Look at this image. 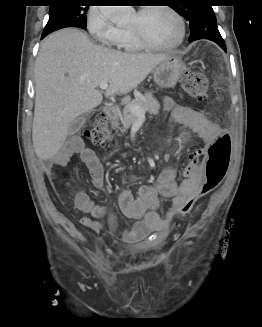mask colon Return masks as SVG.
I'll return each instance as SVG.
<instances>
[{"label": "colon", "instance_id": "obj_1", "mask_svg": "<svg viewBox=\"0 0 262 327\" xmlns=\"http://www.w3.org/2000/svg\"><path fill=\"white\" fill-rule=\"evenodd\" d=\"M184 92L197 101L207 98L208 80L200 72H186L180 80ZM113 131L110 127L108 115L100 112L96 115L92 128L85 133L86 138L94 145H105ZM231 140L227 132H222L214 142L205 150L202 160L204 163V180L199 189L187 197L179 209L180 213H188L194 205L217 188L225 177L230 163Z\"/></svg>", "mask_w": 262, "mask_h": 327}]
</instances>
